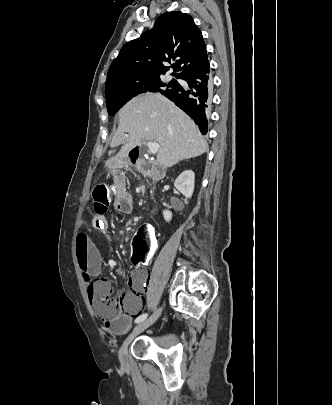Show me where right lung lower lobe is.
<instances>
[{
	"instance_id": "1",
	"label": "right lung lower lobe",
	"mask_w": 332,
	"mask_h": 405,
	"mask_svg": "<svg viewBox=\"0 0 332 405\" xmlns=\"http://www.w3.org/2000/svg\"><path fill=\"white\" fill-rule=\"evenodd\" d=\"M189 87L177 84L171 91L163 93L186 112L199 126L203 135L208 131V116L212 102V77L208 59L202 64L186 71L179 76Z\"/></svg>"
}]
</instances>
